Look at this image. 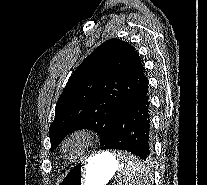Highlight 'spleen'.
Listing matches in <instances>:
<instances>
[{
  "label": "spleen",
  "instance_id": "3e777b00",
  "mask_svg": "<svg viewBox=\"0 0 207 185\" xmlns=\"http://www.w3.org/2000/svg\"><path fill=\"white\" fill-rule=\"evenodd\" d=\"M119 170H117L114 185H144L146 179H153L149 174L148 166H144L142 159L132 151H119Z\"/></svg>",
  "mask_w": 207,
  "mask_h": 185
}]
</instances>
